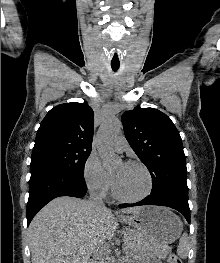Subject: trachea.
Segmentation results:
<instances>
[{
	"label": "trachea",
	"instance_id": "3493384b",
	"mask_svg": "<svg viewBox=\"0 0 220 263\" xmlns=\"http://www.w3.org/2000/svg\"><path fill=\"white\" fill-rule=\"evenodd\" d=\"M113 71H117L119 69V65H111Z\"/></svg>",
	"mask_w": 220,
	"mask_h": 263
}]
</instances>
